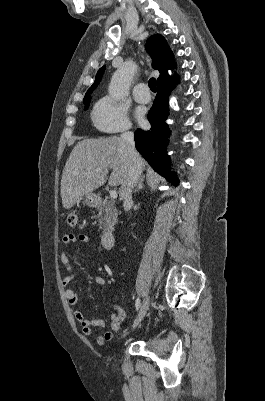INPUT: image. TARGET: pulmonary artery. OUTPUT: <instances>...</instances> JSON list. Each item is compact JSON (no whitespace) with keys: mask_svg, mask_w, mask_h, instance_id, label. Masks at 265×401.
I'll use <instances>...</instances> for the list:
<instances>
[{"mask_svg":"<svg viewBox=\"0 0 265 401\" xmlns=\"http://www.w3.org/2000/svg\"><path fill=\"white\" fill-rule=\"evenodd\" d=\"M133 97L141 103H149L151 101V95L148 94V88L145 86V83L137 84Z\"/></svg>","mask_w":265,"mask_h":401,"instance_id":"1","label":"pulmonary artery"}]
</instances>
